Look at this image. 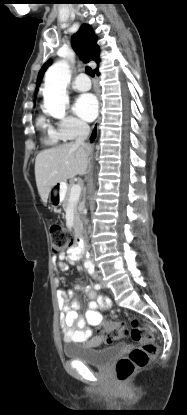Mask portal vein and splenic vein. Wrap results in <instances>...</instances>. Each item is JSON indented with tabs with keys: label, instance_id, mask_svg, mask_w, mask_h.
Segmentation results:
<instances>
[{
	"label": "portal vein and splenic vein",
	"instance_id": "18ae733b",
	"mask_svg": "<svg viewBox=\"0 0 187 415\" xmlns=\"http://www.w3.org/2000/svg\"><path fill=\"white\" fill-rule=\"evenodd\" d=\"M81 194V186L79 184H74L71 188L70 193V203H75L79 200Z\"/></svg>",
	"mask_w": 187,
	"mask_h": 415
}]
</instances>
